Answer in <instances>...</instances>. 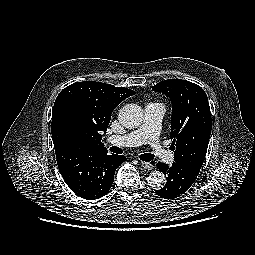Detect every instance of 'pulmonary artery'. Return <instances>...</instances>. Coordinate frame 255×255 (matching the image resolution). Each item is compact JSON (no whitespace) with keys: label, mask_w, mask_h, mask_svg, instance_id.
Returning a JSON list of instances; mask_svg holds the SVG:
<instances>
[{"label":"pulmonary artery","mask_w":255,"mask_h":255,"mask_svg":"<svg viewBox=\"0 0 255 255\" xmlns=\"http://www.w3.org/2000/svg\"><path fill=\"white\" fill-rule=\"evenodd\" d=\"M165 107L160 103H149L145 106V115L142 124L125 135H110L109 141L130 147L150 144L155 155L166 163L174 162V154L159 142V134Z\"/></svg>","instance_id":"e3ab8cb5"}]
</instances>
